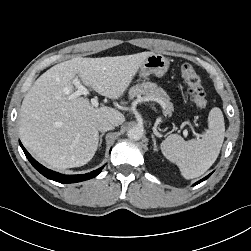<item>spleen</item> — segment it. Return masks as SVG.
<instances>
[{"label": "spleen", "instance_id": "obj_1", "mask_svg": "<svg viewBox=\"0 0 251 251\" xmlns=\"http://www.w3.org/2000/svg\"><path fill=\"white\" fill-rule=\"evenodd\" d=\"M225 135L222 111L218 107L210 110L208 129L201 139L185 141L180 135H169L160 145L166 159L175 163L186 179L203 175L216 161Z\"/></svg>", "mask_w": 251, "mask_h": 251}]
</instances>
